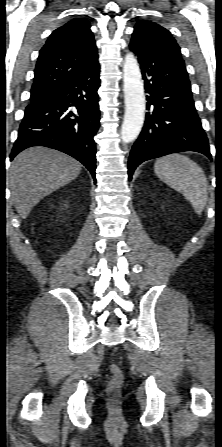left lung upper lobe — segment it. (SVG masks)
<instances>
[{
	"mask_svg": "<svg viewBox=\"0 0 222 447\" xmlns=\"http://www.w3.org/2000/svg\"><path fill=\"white\" fill-rule=\"evenodd\" d=\"M132 37L160 47L184 62L181 58L180 48L175 39L171 36L168 30L156 23L146 20L139 21L134 27Z\"/></svg>",
	"mask_w": 222,
	"mask_h": 447,
	"instance_id": "obj_1",
	"label": "left lung upper lobe"
}]
</instances>
